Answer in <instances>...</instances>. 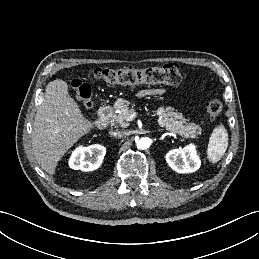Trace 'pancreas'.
<instances>
[{
  "label": "pancreas",
  "instance_id": "pancreas-1",
  "mask_svg": "<svg viewBox=\"0 0 259 259\" xmlns=\"http://www.w3.org/2000/svg\"><path fill=\"white\" fill-rule=\"evenodd\" d=\"M130 102L125 99H118L114 104V108L119 112L112 115L113 120L121 127H127V117L133 113V109H129ZM158 123L171 133H176L185 138H197L201 134V127L195 123H188L183 118L182 113L177 112L173 107L160 106L156 111Z\"/></svg>",
  "mask_w": 259,
  "mask_h": 259
}]
</instances>
